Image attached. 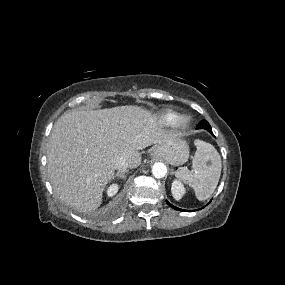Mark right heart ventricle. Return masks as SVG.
<instances>
[{"label":"right heart ventricle","mask_w":285,"mask_h":285,"mask_svg":"<svg viewBox=\"0 0 285 285\" xmlns=\"http://www.w3.org/2000/svg\"><path fill=\"white\" fill-rule=\"evenodd\" d=\"M176 117L173 114H168L165 116V120L169 123H173L175 121Z\"/></svg>","instance_id":"obj_1"}]
</instances>
